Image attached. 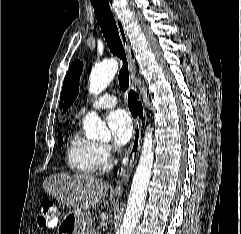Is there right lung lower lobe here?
I'll list each match as a JSON object with an SVG mask.
<instances>
[{
	"label": "right lung lower lobe",
	"mask_w": 241,
	"mask_h": 234,
	"mask_svg": "<svg viewBox=\"0 0 241 234\" xmlns=\"http://www.w3.org/2000/svg\"><path fill=\"white\" fill-rule=\"evenodd\" d=\"M137 98H138V95L131 90L128 95V106L134 117L139 116L140 118H142L143 108H142V104L136 101Z\"/></svg>",
	"instance_id": "98d812e1"
}]
</instances>
